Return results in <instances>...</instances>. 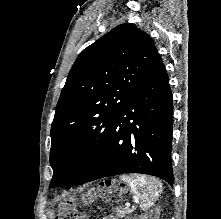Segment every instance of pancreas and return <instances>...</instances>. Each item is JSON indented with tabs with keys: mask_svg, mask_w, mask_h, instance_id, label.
Wrapping results in <instances>:
<instances>
[{
	"mask_svg": "<svg viewBox=\"0 0 221 219\" xmlns=\"http://www.w3.org/2000/svg\"><path fill=\"white\" fill-rule=\"evenodd\" d=\"M131 209L129 208H124V209H121V208H115L113 209V215L105 218V219H118V218H123L125 217L126 215L130 214L131 213Z\"/></svg>",
	"mask_w": 221,
	"mask_h": 219,
	"instance_id": "1",
	"label": "pancreas"
}]
</instances>
